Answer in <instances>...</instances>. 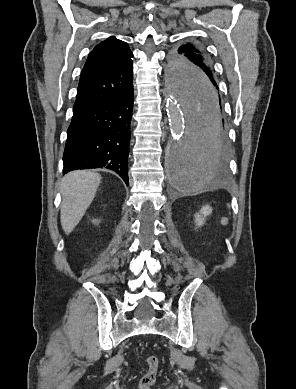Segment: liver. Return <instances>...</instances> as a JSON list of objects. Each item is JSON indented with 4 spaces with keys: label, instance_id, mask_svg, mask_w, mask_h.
<instances>
[{
    "label": "liver",
    "instance_id": "liver-1",
    "mask_svg": "<svg viewBox=\"0 0 296 389\" xmlns=\"http://www.w3.org/2000/svg\"><path fill=\"white\" fill-rule=\"evenodd\" d=\"M100 182L101 175L88 170L72 171L62 179L60 220L66 234L71 233L84 216Z\"/></svg>",
    "mask_w": 296,
    "mask_h": 389
}]
</instances>
